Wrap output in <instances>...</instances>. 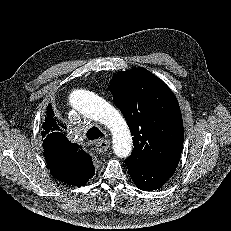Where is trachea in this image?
<instances>
[{
  "label": "trachea",
  "instance_id": "trachea-1",
  "mask_svg": "<svg viewBox=\"0 0 231 231\" xmlns=\"http://www.w3.org/2000/svg\"><path fill=\"white\" fill-rule=\"evenodd\" d=\"M86 136L90 140H96L102 138L104 134L101 132V130L98 127L94 126L87 131Z\"/></svg>",
  "mask_w": 231,
  "mask_h": 231
}]
</instances>
